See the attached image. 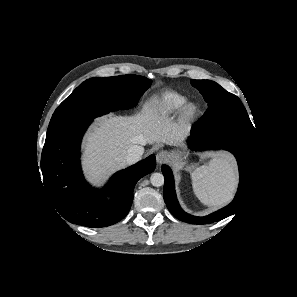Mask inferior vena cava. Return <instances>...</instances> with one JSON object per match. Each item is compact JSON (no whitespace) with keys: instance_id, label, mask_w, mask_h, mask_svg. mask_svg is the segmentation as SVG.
<instances>
[{"instance_id":"inferior-vena-cava-1","label":"inferior vena cava","mask_w":297,"mask_h":297,"mask_svg":"<svg viewBox=\"0 0 297 297\" xmlns=\"http://www.w3.org/2000/svg\"><path fill=\"white\" fill-rule=\"evenodd\" d=\"M144 153V148L140 145H134L129 148L127 155H126V162L128 164H133L141 159Z\"/></svg>"}]
</instances>
